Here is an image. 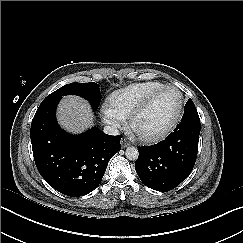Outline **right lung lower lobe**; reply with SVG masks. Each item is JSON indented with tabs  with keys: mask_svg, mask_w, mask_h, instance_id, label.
<instances>
[{
	"mask_svg": "<svg viewBox=\"0 0 243 243\" xmlns=\"http://www.w3.org/2000/svg\"><path fill=\"white\" fill-rule=\"evenodd\" d=\"M60 99L42 101L31 123V143L40 175L54 189L71 197L95 190L111 157L120 149L121 136L93 127L80 135L61 129L55 118Z\"/></svg>",
	"mask_w": 243,
	"mask_h": 243,
	"instance_id": "right-lung-lower-lobe-1",
	"label": "right lung lower lobe"
}]
</instances>
